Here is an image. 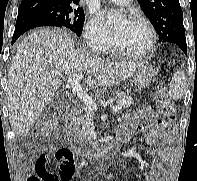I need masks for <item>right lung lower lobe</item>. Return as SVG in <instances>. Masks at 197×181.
Instances as JSON below:
<instances>
[{"instance_id": "right-lung-lower-lobe-1", "label": "right lung lower lobe", "mask_w": 197, "mask_h": 181, "mask_svg": "<svg viewBox=\"0 0 197 181\" xmlns=\"http://www.w3.org/2000/svg\"><path fill=\"white\" fill-rule=\"evenodd\" d=\"M41 26H58V22L51 17L30 9H19L12 44L24 32Z\"/></svg>"}]
</instances>
